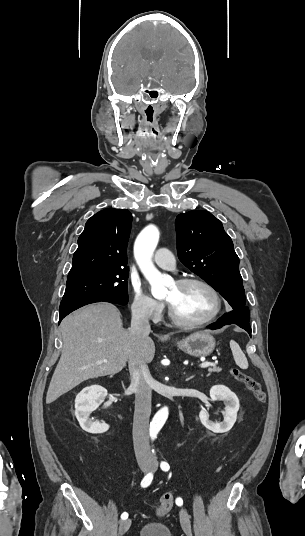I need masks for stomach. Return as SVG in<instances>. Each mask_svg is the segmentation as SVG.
Returning a JSON list of instances; mask_svg holds the SVG:
<instances>
[{
    "mask_svg": "<svg viewBox=\"0 0 305 536\" xmlns=\"http://www.w3.org/2000/svg\"><path fill=\"white\" fill-rule=\"evenodd\" d=\"M215 344V338L209 332H195L185 340L177 342L179 350L189 354V356H196V358H204V356L212 354Z\"/></svg>",
    "mask_w": 305,
    "mask_h": 536,
    "instance_id": "0dacf381",
    "label": "stomach"
}]
</instances>
